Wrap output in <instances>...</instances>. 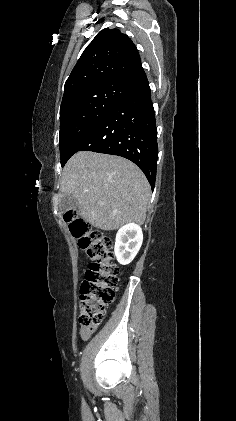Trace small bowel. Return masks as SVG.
<instances>
[{"instance_id": "small-bowel-1", "label": "small bowel", "mask_w": 236, "mask_h": 421, "mask_svg": "<svg viewBox=\"0 0 236 421\" xmlns=\"http://www.w3.org/2000/svg\"><path fill=\"white\" fill-rule=\"evenodd\" d=\"M91 333H92V331L81 330V333L80 334H81V336H82L83 339H87V338L90 337Z\"/></svg>"}]
</instances>
